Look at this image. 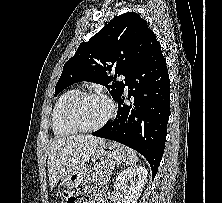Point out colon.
Returning <instances> with one entry per match:
<instances>
[{
  "label": "colon",
  "instance_id": "1",
  "mask_svg": "<svg viewBox=\"0 0 222 203\" xmlns=\"http://www.w3.org/2000/svg\"><path fill=\"white\" fill-rule=\"evenodd\" d=\"M74 198L72 195H67V202L66 203H73Z\"/></svg>",
  "mask_w": 222,
  "mask_h": 203
}]
</instances>
